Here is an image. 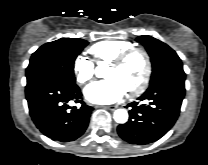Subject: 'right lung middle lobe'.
Wrapping results in <instances>:
<instances>
[{
    "label": "right lung middle lobe",
    "instance_id": "1",
    "mask_svg": "<svg viewBox=\"0 0 208 165\" xmlns=\"http://www.w3.org/2000/svg\"><path fill=\"white\" fill-rule=\"evenodd\" d=\"M87 44L83 39L62 38L41 46L26 69V87L44 79L75 84L74 61Z\"/></svg>",
    "mask_w": 208,
    "mask_h": 165
}]
</instances>
